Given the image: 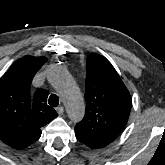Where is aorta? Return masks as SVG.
<instances>
[{"mask_svg":"<svg viewBox=\"0 0 165 165\" xmlns=\"http://www.w3.org/2000/svg\"><path fill=\"white\" fill-rule=\"evenodd\" d=\"M48 79L53 84L61 86L69 119L73 123L81 121L85 113L84 99L66 68L62 65L52 67L48 73Z\"/></svg>","mask_w":165,"mask_h":165,"instance_id":"aorta-1","label":"aorta"}]
</instances>
